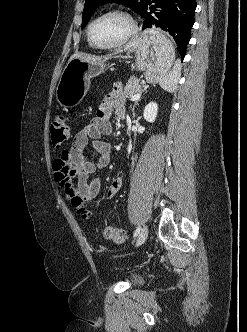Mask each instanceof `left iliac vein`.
Masks as SVG:
<instances>
[{
	"label": "left iliac vein",
	"mask_w": 247,
	"mask_h": 332,
	"mask_svg": "<svg viewBox=\"0 0 247 332\" xmlns=\"http://www.w3.org/2000/svg\"><path fill=\"white\" fill-rule=\"evenodd\" d=\"M147 237H148V227L145 225L139 233V236L136 241V246L142 245L147 239Z\"/></svg>",
	"instance_id": "4c4485c4"
}]
</instances>
